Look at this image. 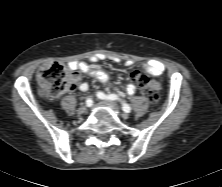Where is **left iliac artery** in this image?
Listing matches in <instances>:
<instances>
[{"label":"left iliac artery","instance_id":"44dca946","mask_svg":"<svg viewBox=\"0 0 222 187\" xmlns=\"http://www.w3.org/2000/svg\"><path fill=\"white\" fill-rule=\"evenodd\" d=\"M97 96L100 99H106V100H117L118 99V97L116 95H114V94L105 95L102 92H98ZM122 109L126 113H129L131 111V107L128 104H126V103L122 104Z\"/></svg>","mask_w":222,"mask_h":187}]
</instances>
